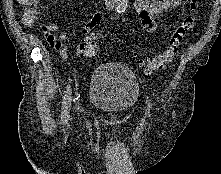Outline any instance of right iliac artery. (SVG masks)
Returning <instances> with one entry per match:
<instances>
[{
  "label": "right iliac artery",
  "mask_w": 221,
  "mask_h": 174,
  "mask_svg": "<svg viewBox=\"0 0 221 174\" xmlns=\"http://www.w3.org/2000/svg\"><path fill=\"white\" fill-rule=\"evenodd\" d=\"M71 105V89L70 86L67 87L63 104H62V121L63 123H66L69 119V109Z\"/></svg>",
  "instance_id": "obj_1"
}]
</instances>
